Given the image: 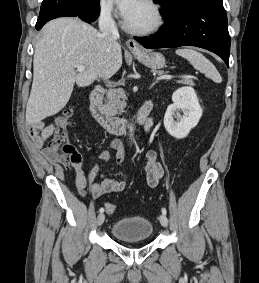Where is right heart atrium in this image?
Masks as SVG:
<instances>
[{
  "label": "right heart atrium",
  "instance_id": "obj_1",
  "mask_svg": "<svg viewBox=\"0 0 259 283\" xmlns=\"http://www.w3.org/2000/svg\"><path fill=\"white\" fill-rule=\"evenodd\" d=\"M98 12L103 18H111L114 14V8L110 0H99L98 1Z\"/></svg>",
  "mask_w": 259,
  "mask_h": 283
}]
</instances>
